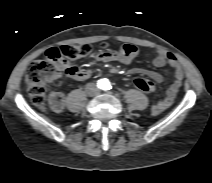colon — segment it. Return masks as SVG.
<instances>
[{"label":"colon","instance_id":"1","mask_svg":"<svg viewBox=\"0 0 212 183\" xmlns=\"http://www.w3.org/2000/svg\"><path fill=\"white\" fill-rule=\"evenodd\" d=\"M101 48L105 49L106 44H102ZM92 52L93 47L90 44L64 45L49 49L46 59L33 62L26 73L25 82L31 101L39 108H44L46 88L54 80L59 64L87 57ZM67 74L72 75V71ZM133 84L144 93H152L155 89L154 84L144 78H136Z\"/></svg>","mask_w":212,"mask_h":183}]
</instances>
